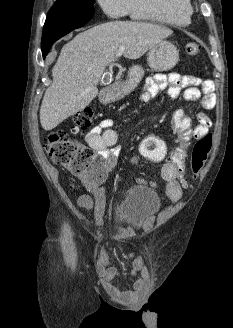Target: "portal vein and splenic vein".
I'll list each match as a JSON object with an SVG mask.
<instances>
[{
    "label": "portal vein and splenic vein",
    "mask_w": 233,
    "mask_h": 328,
    "mask_svg": "<svg viewBox=\"0 0 233 328\" xmlns=\"http://www.w3.org/2000/svg\"><path fill=\"white\" fill-rule=\"evenodd\" d=\"M124 50H125V47L120 46L117 53H116V57H120L123 54Z\"/></svg>",
    "instance_id": "portal-vein-and-splenic-vein-1"
}]
</instances>
